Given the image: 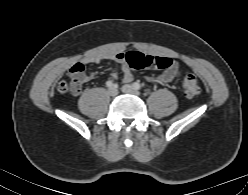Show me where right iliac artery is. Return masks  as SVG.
<instances>
[{
	"label": "right iliac artery",
	"instance_id": "obj_1",
	"mask_svg": "<svg viewBox=\"0 0 248 195\" xmlns=\"http://www.w3.org/2000/svg\"><path fill=\"white\" fill-rule=\"evenodd\" d=\"M107 87H113L115 84L112 81L106 82Z\"/></svg>",
	"mask_w": 248,
	"mask_h": 195
}]
</instances>
